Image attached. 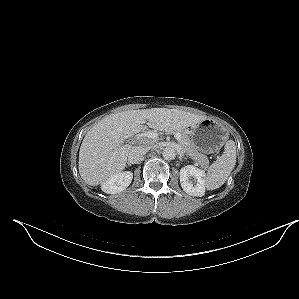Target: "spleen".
<instances>
[{"instance_id":"spleen-1","label":"spleen","mask_w":299,"mask_h":299,"mask_svg":"<svg viewBox=\"0 0 299 299\" xmlns=\"http://www.w3.org/2000/svg\"><path fill=\"white\" fill-rule=\"evenodd\" d=\"M235 164L236 146L233 140H229L224 146V153L222 156L208 168L205 181L206 188L208 190H215L221 187L234 169Z\"/></svg>"}]
</instances>
